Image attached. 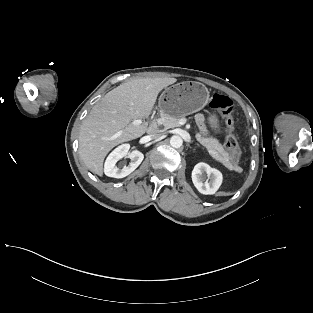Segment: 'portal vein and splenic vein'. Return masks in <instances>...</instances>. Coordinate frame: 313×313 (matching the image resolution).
Segmentation results:
<instances>
[{
  "label": "portal vein and splenic vein",
  "instance_id": "portal-vein-and-splenic-vein-1",
  "mask_svg": "<svg viewBox=\"0 0 313 313\" xmlns=\"http://www.w3.org/2000/svg\"><path fill=\"white\" fill-rule=\"evenodd\" d=\"M133 123L136 124V125H139V124L142 123V120H141V119H137V120H134ZM184 123H185V121H184L183 119H181V120L179 121V124H180V125H183Z\"/></svg>",
  "mask_w": 313,
  "mask_h": 313
}]
</instances>
